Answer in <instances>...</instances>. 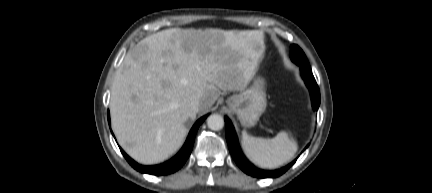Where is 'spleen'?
Instances as JSON below:
<instances>
[{"mask_svg":"<svg viewBox=\"0 0 432 193\" xmlns=\"http://www.w3.org/2000/svg\"><path fill=\"white\" fill-rule=\"evenodd\" d=\"M242 147L251 162L264 169H275L289 162L298 150L297 142L285 131L272 139L242 133Z\"/></svg>","mask_w":432,"mask_h":193,"instance_id":"obj_1","label":"spleen"}]
</instances>
